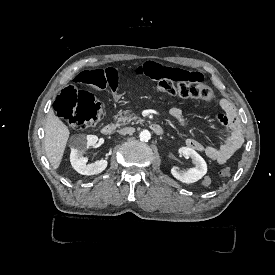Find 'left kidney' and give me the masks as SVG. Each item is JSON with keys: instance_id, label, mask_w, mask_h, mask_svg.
<instances>
[{"instance_id": "5707ae66", "label": "left kidney", "mask_w": 275, "mask_h": 275, "mask_svg": "<svg viewBox=\"0 0 275 275\" xmlns=\"http://www.w3.org/2000/svg\"><path fill=\"white\" fill-rule=\"evenodd\" d=\"M178 152L186 157H191L195 163L194 168L187 171L177 170L176 167L171 169V174L183 183H194L201 179L207 173V164L205 160L192 148L181 147Z\"/></svg>"}]
</instances>
